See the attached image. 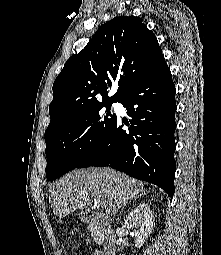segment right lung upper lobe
<instances>
[{
	"label": "right lung upper lobe",
	"instance_id": "1",
	"mask_svg": "<svg viewBox=\"0 0 221 255\" xmlns=\"http://www.w3.org/2000/svg\"><path fill=\"white\" fill-rule=\"evenodd\" d=\"M162 57L155 34L142 18L121 16L108 21L81 52L67 60L56 78L46 131L88 106L119 102ZM113 82H118V90L109 97Z\"/></svg>",
	"mask_w": 221,
	"mask_h": 255
}]
</instances>
